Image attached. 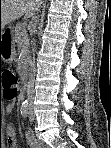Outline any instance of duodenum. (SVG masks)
<instances>
[{"instance_id":"1","label":"duodenum","mask_w":111,"mask_h":148,"mask_svg":"<svg viewBox=\"0 0 111 148\" xmlns=\"http://www.w3.org/2000/svg\"><path fill=\"white\" fill-rule=\"evenodd\" d=\"M27 85H28V83H27V76H25L24 83H23V88L26 89Z\"/></svg>"}]
</instances>
